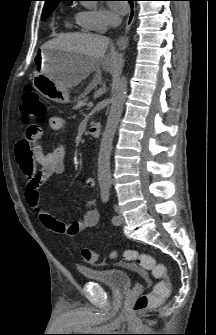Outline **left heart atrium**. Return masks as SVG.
I'll return each mask as SVG.
<instances>
[{
    "mask_svg": "<svg viewBox=\"0 0 216 335\" xmlns=\"http://www.w3.org/2000/svg\"><path fill=\"white\" fill-rule=\"evenodd\" d=\"M110 6L118 15H124L127 12V7L122 1H114L110 4Z\"/></svg>",
    "mask_w": 216,
    "mask_h": 335,
    "instance_id": "39dd6f15",
    "label": "left heart atrium"
}]
</instances>
